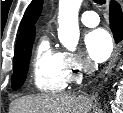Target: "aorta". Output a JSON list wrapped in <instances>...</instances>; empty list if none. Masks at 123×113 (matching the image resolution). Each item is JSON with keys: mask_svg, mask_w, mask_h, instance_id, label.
<instances>
[{"mask_svg": "<svg viewBox=\"0 0 123 113\" xmlns=\"http://www.w3.org/2000/svg\"><path fill=\"white\" fill-rule=\"evenodd\" d=\"M81 2L82 0H59L58 38L69 51H75L79 41L78 12Z\"/></svg>", "mask_w": 123, "mask_h": 113, "instance_id": "1", "label": "aorta"}]
</instances>
